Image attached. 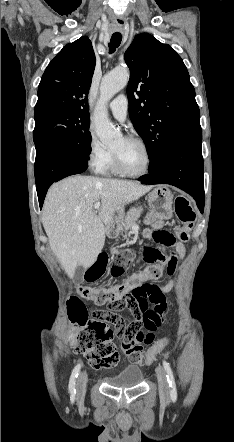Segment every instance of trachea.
Listing matches in <instances>:
<instances>
[{"label": "trachea", "instance_id": "3493384b", "mask_svg": "<svg viewBox=\"0 0 234 442\" xmlns=\"http://www.w3.org/2000/svg\"><path fill=\"white\" fill-rule=\"evenodd\" d=\"M122 40V36L120 35H112L110 43H109V52L113 53L117 47H119Z\"/></svg>", "mask_w": 234, "mask_h": 442}]
</instances>
